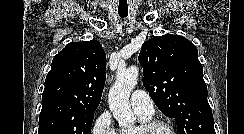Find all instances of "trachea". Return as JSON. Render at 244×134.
<instances>
[{"mask_svg":"<svg viewBox=\"0 0 244 134\" xmlns=\"http://www.w3.org/2000/svg\"><path fill=\"white\" fill-rule=\"evenodd\" d=\"M120 17L124 18L128 15V13H119Z\"/></svg>","mask_w":244,"mask_h":134,"instance_id":"1","label":"trachea"}]
</instances>
